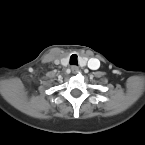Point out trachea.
<instances>
[{
	"label": "trachea",
	"instance_id": "obj_1",
	"mask_svg": "<svg viewBox=\"0 0 145 145\" xmlns=\"http://www.w3.org/2000/svg\"><path fill=\"white\" fill-rule=\"evenodd\" d=\"M70 64L71 65H78V57L76 54L71 55Z\"/></svg>",
	"mask_w": 145,
	"mask_h": 145
}]
</instances>
